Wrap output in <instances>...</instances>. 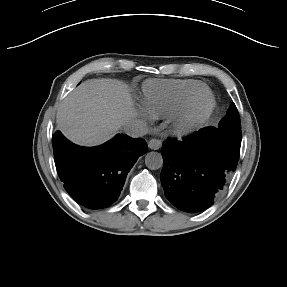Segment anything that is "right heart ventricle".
Returning <instances> with one entry per match:
<instances>
[{
    "mask_svg": "<svg viewBox=\"0 0 287 287\" xmlns=\"http://www.w3.org/2000/svg\"><path fill=\"white\" fill-rule=\"evenodd\" d=\"M205 88L197 80H148L142 87V103L150 116L170 117L192 94Z\"/></svg>",
    "mask_w": 287,
    "mask_h": 287,
    "instance_id": "1",
    "label": "right heart ventricle"
}]
</instances>
